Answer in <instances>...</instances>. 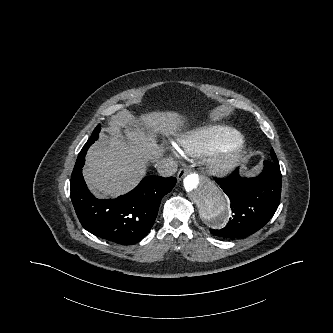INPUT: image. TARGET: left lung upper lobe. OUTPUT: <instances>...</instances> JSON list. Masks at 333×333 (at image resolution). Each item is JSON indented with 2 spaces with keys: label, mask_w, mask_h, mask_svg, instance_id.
<instances>
[{
  "label": "left lung upper lobe",
  "mask_w": 333,
  "mask_h": 333,
  "mask_svg": "<svg viewBox=\"0 0 333 333\" xmlns=\"http://www.w3.org/2000/svg\"><path fill=\"white\" fill-rule=\"evenodd\" d=\"M271 157H272L273 161H276V162L278 161L273 149H271Z\"/></svg>",
  "instance_id": "obj_1"
}]
</instances>
